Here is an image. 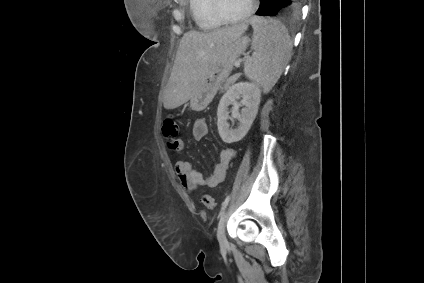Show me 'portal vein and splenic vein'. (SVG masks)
Instances as JSON below:
<instances>
[{"mask_svg":"<svg viewBox=\"0 0 424 283\" xmlns=\"http://www.w3.org/2000/svg\"><path fill=\"white\" fill-rule=\"evenodd\" d=\"M235 66H236V67H239V66H240V61H236V62H235Z\"/></svg>","mask_w":424,"mask_h":283,"instance_id":"18ae733b","label":"portal vein and splenic vein"}]
</instances>
